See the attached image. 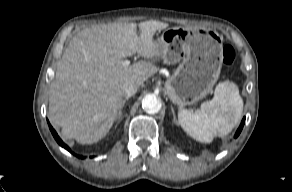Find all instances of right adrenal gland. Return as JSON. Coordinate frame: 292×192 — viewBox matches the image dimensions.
<instances>
[{
  "label": "right adrenal gland",
  "instance_id": "obj_1",
  "mask_svg": "<svg viewBox=\"0 0 292 192\" xmlns=\"http://www.w3.org/2000/svg\"><path fill=\"white\" fill-rule=\"evenodd\" d=\"M127 100H128V98H125V99L122 101V105H121V107H120V109H119V111H118L117 117H116V121H117V122L121 121L122 118H123L122 109H123V107H124V105H125V103H126Z\"/></svg>",
  "mask_w": 292,
  "mask_h": 192
}]
</instances>
